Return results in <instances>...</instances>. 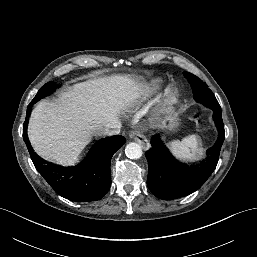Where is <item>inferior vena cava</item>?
I'll return each mask as SVG.
<instances>
[{
  "label": "inferior vena cava",
  "mask_w": 257,
  "mask_h": 257,
  "mask_svg": "<svg viewBox=\"0 0 257 257\" xmlns=\"http://www.w3.org/2000/svg\"><path fill=\"white\" fill-rule=\"evenodd\" d=\"M119 133H120V125L117 123L108 125L103 131L104 135H116Z\"/></svg>",
  "instance_id": "602c4592"
}]
</instances>
